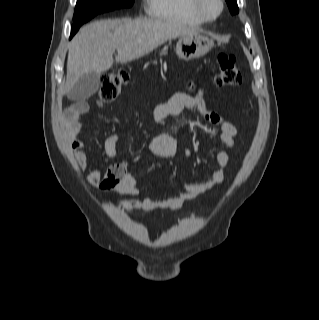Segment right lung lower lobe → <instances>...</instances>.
Wrapping results in <instances>:
<instances>
[{
    "mask_svg": "<svg viewBox=\"0 0 319 320\" xmlns=\"http://www.w3.org/2000/svg\"><path fill=\"white\" fill-rule=\"evenodd\" d=\"M77 32V31H76ZM76 32H71V36L70 37H72Z\"/></svg>",
    "mask_w": 319,
    "mask_h": 320,
    "instance_id": "98d812e1",
    "label": "right lung lower lobe"
}]
</instances>
